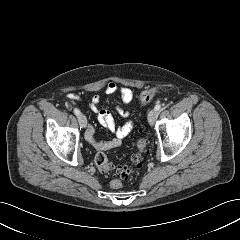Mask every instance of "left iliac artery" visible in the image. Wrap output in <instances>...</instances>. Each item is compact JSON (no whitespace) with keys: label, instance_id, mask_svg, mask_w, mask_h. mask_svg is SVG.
Masks as SVG:
<instances>
[{"label":"left iliac artery","instance_id":"44dca946","mask_svg":"<svg viewBox=\"0 0 240 240\" xmlns=\"http://www.w3.org/2000/svg\"><path fill=\"white\" fill-rule=\"evenodd\" d=\"M161 108H162V106H161L160 104H158V105L155 106V110H157V111H160Z\"/></svg>","mask_w":240,"mask_h":240}]
</instances>
